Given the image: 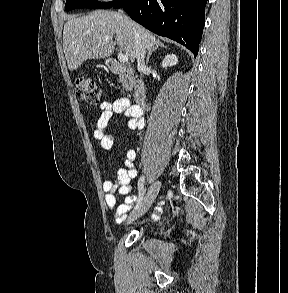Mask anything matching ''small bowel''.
Here are the masks:
<instances>
[{
    "label": "small bowel",
    "instance_id": "obj_1",
    "mask_svg": "<svg viewBox=\"0 0 288 293\" xmlns=\"http://www.w3.org/2000/svg\"><path fill=\"white\" fill-rule=\"evenodd\" d=\"M101 114L97 119L93 131V138L103 151H109L114 143V135L107 133V127L116 114L123 113L129 117L128 127L131 130H140L144 127L143 111L137 105H131L129 99L119 98L114 102H102ZM136 151L129 149L123 160V166L116 169L115 177L104 181L102 188L105 193L104 199L107 207L114 211L116 223L123 222L136 202V196L128 195L131 190L130 183L136 177L135 167ZM115 193L126 195L122 204L116 206Z\"/></svg>",
    "mask_w": 288,
    "mask_h": 293
}]
</instances>
